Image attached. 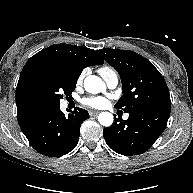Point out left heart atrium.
<instances>
[{"mask_svg":"<svg viewBox=\"0 0 193 193\" xmlns=\"http://www.w3.org/2000/svg\"><path fill=\"white\" fill-rule=\"evenodd\" d=\"M82 103L86 106L92 107V108H103L107 104V99L105 97H91V98H85L83 99Z\"/></svg>","mask_w":193,"mask_h":193,"instance_id":"39dd6f15","label":"left heart atrium"}]
</instances>
